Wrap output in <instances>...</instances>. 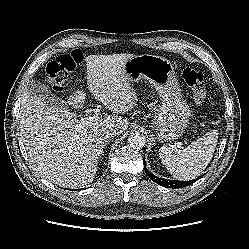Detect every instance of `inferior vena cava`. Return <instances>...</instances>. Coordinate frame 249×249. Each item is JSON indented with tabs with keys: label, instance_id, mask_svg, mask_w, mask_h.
<instances>
[{
	"label": "inferior vena cava",
	"instance_id": "602c4592",
	"mask_svg": "<svg viewBox=\"0 0 249 249\" xmlns=\"http://www.w3.org/2000/svg\"><path fill=\"white\" fill-rule=\"evenodd\" d=\"M119 133L118 129L109 127L103 130L102 134L105 139H109Z\"/></svg>",
	"mask_w": 249,
	"mask_h": 249
}]
</instances>
